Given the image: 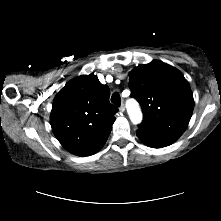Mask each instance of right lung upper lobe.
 Returning a JSON list of instances; mask_svg holds the SVG:
<instances>
[{"mask_svg":"<svg viewBox=\"0 0 221 221\" xmlns=\"http://www.w3.org/2000/svg\"><path fill=\"white\" fill-rule=\"evenodd\" d=\"M110 90L94 74L79 76L56 95L50 117L54 135L77 156L98 152L108 139L118 109L109 102Z\"/></svg>","mask_w":221,"mask_h":221,"instance_id":"1","label":"right lung upper lobe"}]
</instances>
